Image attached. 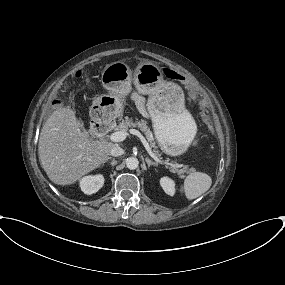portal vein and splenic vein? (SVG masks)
I'll list each match as a JSON object with an SVG mask.
<instances>
[{"label":"portal vein and splenic vein","mask_w":285,"mask_h":285,"mask_svg":"<svg viewBox=\"0 0 285 285\" xmlns=\"http://www.w3.org/2000/svg\"><path fill=\"white\" fill-rule=\"evenodd\" d=\"M130 134L136 135L142 142L143 146L145 147L146 151L148 152V154L159 164L162 165H167L166 162L160 160V158H158L156 156V154L152 151L149 143L147 142V140L145 139V137L136 129H130L129 130ZM128 136V133L126 131H117V132H113L111 133V135L109 136L110 140L113 142H121L124 141L126 139V137Z\"/></svg>","instance_id":"1"}]
</instances>
